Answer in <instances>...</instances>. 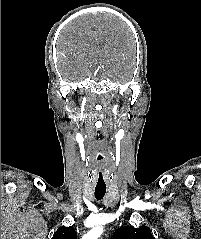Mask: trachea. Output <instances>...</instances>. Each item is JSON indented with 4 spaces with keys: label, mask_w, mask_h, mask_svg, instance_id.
I'll use <instances>...</instances> for the list:
<instances>
[{
    "label": "trachea",
    "mask_w": 201,
    "mask_h": 239,
    "mask_svg": "<svg viewBox=\"0 0 201 239\" xmlns=\"http://www.w3.org/2000/svg\"><path fill=\"white\" fill-rule=\"evenodd\" d=\"M106 193V186H96L95 188V197L97 200L103 199Z\"/></svg>",
    "instance_id": "1"
}]
</instances>
